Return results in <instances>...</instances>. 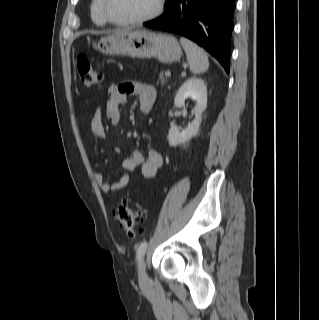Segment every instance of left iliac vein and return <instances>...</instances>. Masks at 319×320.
Returning <instances> with one entry per match:
<instances>
[{"instance_id": "left-iliac-vein-1", "label": "left iliac vein", "mask_w": 319, "mask_h": 320, "mask_svg": "<svg viewBox=\"0 0 319 320\" xmlns=\"http://www.w3.org/2000/svg\"><path fill=\"white\" fill-rule=\"evenodd\" d=\"M139 283L140 285H147L149 283V278L146 273V266L144 261H142L139 265Z\"/></svg>"}]
</instances>
